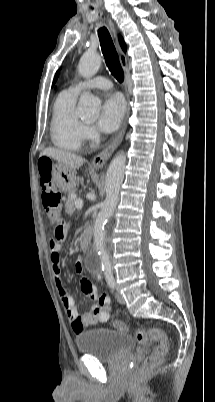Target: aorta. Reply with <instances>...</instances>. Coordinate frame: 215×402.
<instances>
[{
    "label": "aorta",
    "instance_id": "obj_1",
    "mask_svg": "<svg viewBox=\"0 0 215 402\" xmlns=\"http://www.w3.org/2000/svg\"><path fill=\"white\" fill-rule=\"evenodd\" d=\"M100 66L101 57L99 54L85 53L79 61L78 72L84 78H90L98 72ZM100 104L101 102L97 97L90 92H85L80 97L77 114L83 119L94 120L99 116ZM125 165L126 155L124 152H119L112 159L107 169L105 180L106 199L102 205L94 228L95 249L91 259L87 263L89 267L100 265L106 278H112L113 271L104 225L112 216L118 204Z\"/></svg>",
    "mask_w": 215,
    "mask_h": 402
}]
</instances>
